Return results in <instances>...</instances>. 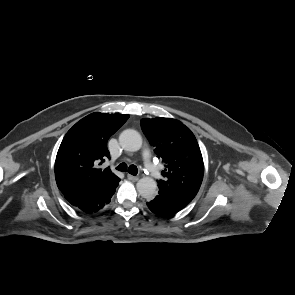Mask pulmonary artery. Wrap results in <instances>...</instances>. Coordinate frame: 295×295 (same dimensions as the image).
Here are the masks:
<instances>
[{
	"mask_svg": "<svg viewBox=\"0 0 295 295\" xmlns=\"http://www.w3.org/2000/svg\"><path fill=\"white\" fill-rule=\"evenodd\" d=\"M143 160H144V165L149 172V174L153 178H160V173L157 169V167L153 164L152 159H151V153L148 149H145L143 151Z\"/></svg>",
	"mask_w": 295,
	"mask_h": 295,
	"instance_id": "1",
	"label": "pulmonary artery"
}]
</instances>
